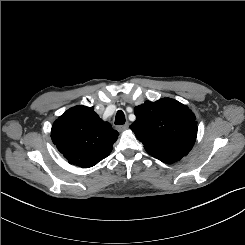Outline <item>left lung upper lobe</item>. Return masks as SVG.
Listing matches in <instances>:
<instances>
[{"label":"left lung upper lobe","mask_w":245,"mask_h":245,"mask_svg":"<svg viewBox=\"0 0 245 245\" xmlns=\"http://www.w3.org/2000/svg\"><path fill=\"white\" fill-rule=\"evenodd\" d=\"M134 114L136 121L130 129L153 157L180 160L192 149L198 128L193 112L186 105L162 98L136 106Z\"/></svg>","instance_id":"1"}]
</instances>
